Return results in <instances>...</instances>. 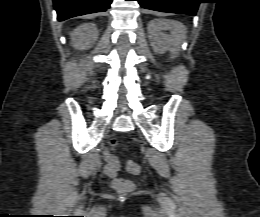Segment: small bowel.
I'll return each instance as SVG.
<instances>
[{
  "label": "small bowel",
  "mask_w": 260,
  "mask_h": 217,
  "mask_svg": "<svg viewBox=\"0 0 260 217\" xmlns=\"http://www.w3.org/2000/svg\"><path fill=\"white\" fill-rule=\"evenodd\" d=\"M104 159L106 161V165L104 166V173L110 178L115 177L121 168L118 157L106 150L104 152Z\"/></svg>",
  "instance_id": "c3829d8e"
}]
</instances>
